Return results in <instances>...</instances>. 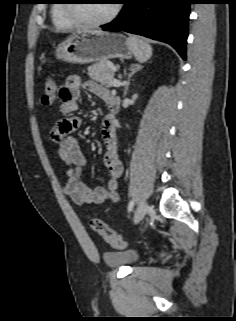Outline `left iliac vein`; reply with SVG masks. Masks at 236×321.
<instances>
[{"mask_svg":"<svg viewBox=\"0 0 236 321\" xmlns=\"http://www.w3.org/2000/svg\"><path fill=\"white\" fill-rule=\"evenodd\" d=\"M149 209V205L146 201H142L134 214V223L137 224L140 222Z\"/></svg>","mask_w":236,"mask_h":321,"instance_id":"1","label":"left iliac vein"}]
</instances>
